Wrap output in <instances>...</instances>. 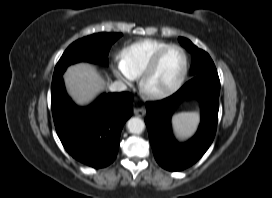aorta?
I'll use <instances>...</instances> for the list:
<instances>
[{
    "mask_svg": "<svg viewBox=\"0 0 272 198\" xmlns=\"http://www.w3.org/2000/svg\"><path fill=\"white\" fill-rule=\"evenodd\" d=\"M127 128L130 133L140 134L143 132V130L145 128V123L142 119H140L138 117H133L128 120Z\"/></svg>",
    "mask_w": 272,
    "mask_h": 198,
    "instance_id": "aorta-1",
    "label": "aorta"
}]
</instances>
